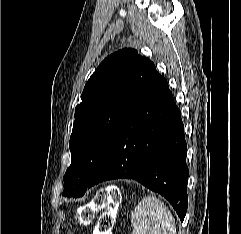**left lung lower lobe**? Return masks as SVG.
Wrapping results in <instances>:
<instances>
[{
	"instance_id": "1",
	"label": "left lung lower lobe",
	"mask_w": 241,
	"mask_h": 234,
	"mask_svg": "<svg viewBox=\"0 0 241 234\" xmlns=\"http://www.w3.org/2000/svg\"><path fill=\"white\" fill-rule=\"evenodd\" d=\"M187 144L180 110L156 73L128 113L88 188L106 180L134 179L164 196L183 221L187 211Z\"/></svg>"
}]
</instances>
